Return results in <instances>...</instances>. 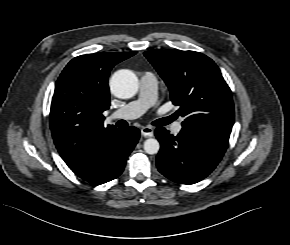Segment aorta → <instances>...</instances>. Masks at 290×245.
I'll return each instance as SVG.
<instances>
[{"label":"aorta","mask_w":290,"mask_h":245,"mask_svg":"<svg viewBox=\"0 0 290 245\" xmlns=\"http://www.w3.org/2000/svg\"><path fill=\"white\" fill-rule=\"evenodd\" d=\"M112 93L122 99L133 97L138 90V79L130 70H119L110 79ZM160 144L157 139L149 138L144 141V150L148 154H157Z\"/></svg>","instance_id":"aorta-1"}]
</instances>
